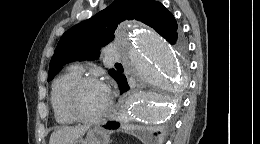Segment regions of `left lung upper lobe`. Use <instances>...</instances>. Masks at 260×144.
Segmentation results:
<instances>
[{"instance_id": "obj_1", "label": "left lung upper lobe", "mask_w": 260, "mask_h": 144, "mask_svg": "<svg viewBox=\"0 0 260 144\" xmlns=\"http://www.w3.org/2000/svg\"><path fill=\"white\" fill-rule=\"evenodd\" d=\"M138 20L152 27L168 42L178 32L173 14L154 0H115L110 6L66 31L60 38L49 65L48 81L59 69L73 61L94 60L101 47L114 39L117 25L124 20ZM176 46L184 52V42ZM121 71L110 69L116 80Z\"/></svg>"}]
</instances>
